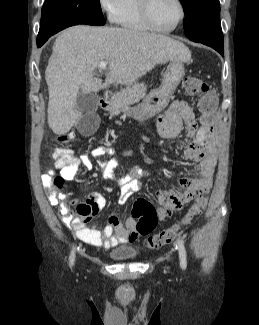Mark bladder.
<instances>
[{
	"label": "bladder",
	"instance_id": "1",
	"mask_svg": "<svg viewBox=\"0 0 259 325\" xmlns=\"http://www.w3.org/2000/svg\"><path fill=\"white\" fill-rule=\"evenodd\" d=\"M138 255V251L133 246H119L109 251V257L116 261H124L134 259Z\"/></svg>",
	"mask_w": 259,
	"mask_h": 325
}]
</instances>
